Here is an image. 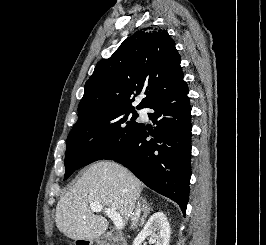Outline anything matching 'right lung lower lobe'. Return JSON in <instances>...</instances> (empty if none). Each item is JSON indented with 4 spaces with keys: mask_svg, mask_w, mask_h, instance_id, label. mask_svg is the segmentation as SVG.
Listing matches in <instances>:
<instances>
[{
    "mask_svg": "<svg viewBox=\"0 0 266 245\" xmlns=\"http://www.w3.org/2000/svg\"><path fill=\"white\" fill-rule=\"evenodd\" d=\"M188 88L181 81L146 108L154 130L141 123L122 150L107 156L131 170L149 188L174 200L185 215L191 177V107ZM152 136V139H147Z\"/></svg>",
    "mask_w": 266,
    "mask_h": 245,
    "instance_id": "1",
    "label": "right lung lower lobe"
}]
</instances>
